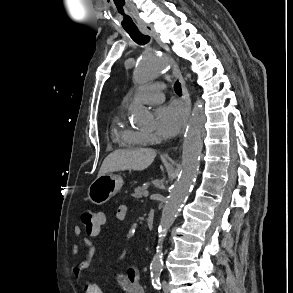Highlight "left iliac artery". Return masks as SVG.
Returning <instances> with one entry per match:
<instances>
[{
  "instance_id": "1",
  "label": "left iliac artery",
  "mask_w": 293,
  "mask_h": 293,
  "mask_svg": "<svg viewBox=\"0 0 293 293\" xmlns=\"http://www.w3.org/2000/svg\"><path fill=\"white\" fill-rule=\"evenodd\" d=\"M160 273H161V270L159 269H153L151 271V282L153 287L157 290L161 289Z\"/></svg>"
}]
</instances>
